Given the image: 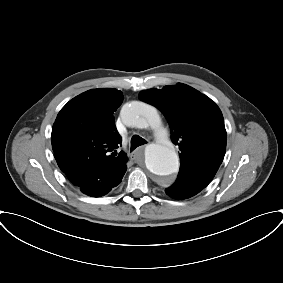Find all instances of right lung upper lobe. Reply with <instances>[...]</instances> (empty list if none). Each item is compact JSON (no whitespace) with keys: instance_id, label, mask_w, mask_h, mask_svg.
I'll list each match as a JSON object with an SVG mask.
<instances>
[{"instance_id":"1","label":"right lung upper lobe","mask_w":283,"mask_h":283,"mask_svg":"<svg viewBox=\"0 0 283 283\" xmlns=\"http://www.w3.org/2000/svg\"><path fill=\"white\" fill-rule=\"evenodd\" d=\"M122 101L121 91L92 89L70 100L58 113L52 148L58 166L75 186L105 171L111 181L125 174L128 158L123 151L116 155L122 138L113 116Z\"/></svg>"}]
</instances>
